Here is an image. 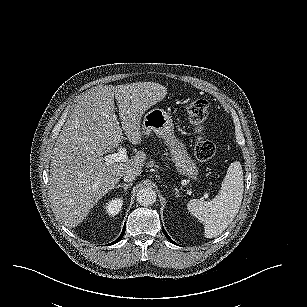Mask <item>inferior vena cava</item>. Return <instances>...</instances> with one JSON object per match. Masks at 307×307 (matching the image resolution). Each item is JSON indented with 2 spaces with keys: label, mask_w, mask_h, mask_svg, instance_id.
Listing matches in <instances>:
<instances>
[{
  "label": "inferior vena cava",
  "mask_w": 307,
  "mask_h": 307,
  "mask_svg": "<svg viewBox=\"0 0 307 307\" xmlns=\"http://www.w3.org/2000/svg\"><path fill=\"white\" fill-rule=\"evenodd\" d=\"M135 178H136V175L130 171L125 172L123 175V179L125 182H132L135 180Z\"/></svg>",
  "instance_id": "inferior-vena-cava-1"
}]
</instances>
